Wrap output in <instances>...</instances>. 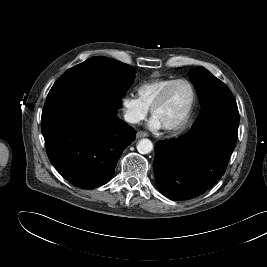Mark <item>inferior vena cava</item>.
Here are the masks:
<instances>
[{
    "instance_id": "1",
    "label": "inferior vena cava",
    "mask_w": 267,
    "mask_h": 267,
    "mask_svg": "<svg viewBox=\"0 0 267 267\" xmlns=\"http://www.w3.org/2000/svg\"><path fill=\"white\" fill-rule=\"evenodd\" d=\"M124 119L128 123H138L139 122V118L131 111H127L124 114Z\"/></svg>"
}]
</instances>
